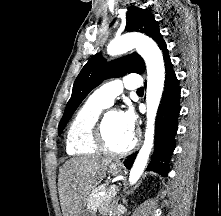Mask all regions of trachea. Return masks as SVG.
I'll list each match as a JSON object with an SVG mask.
<instances>
[{"mask_svg": "<svg viewBox=\"0 0 221 216\" xmlns=\"http://www.w3.org/2000/svg\"><path fill=\"white\" fill-rule=\"evenodd\" d=\"M144 92V88L143 87H141V88H139L138 90H137V93H143Z\"/></svg>", "mask_w": 221, "mask_h": 216, "instance_id": "trachea-1", "label": "trachea"}]
</instances>
